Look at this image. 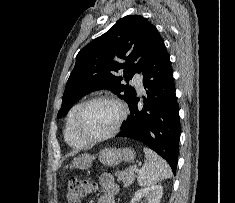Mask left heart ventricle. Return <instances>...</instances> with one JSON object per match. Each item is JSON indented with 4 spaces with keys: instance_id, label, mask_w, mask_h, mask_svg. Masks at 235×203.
Wrapping results in <instances>:
<instances>
[{
    "instance_id": "1",
    "label": "left heart ventricle",
    "mask_w": 235,
    "mask_h": 203,
    "mask_svg": "<svg viewBox=\"0 0 235 203\" xmlns=\"http://www.w3.org/2000/svg\"><path fill=\"white\" fill-rule=\"evenodd\" d=\"M119 107L108 101L90 104L82 113L79 128L88 137H98L111 131L119 118Z\"/></svg>"
}]
</instances>
